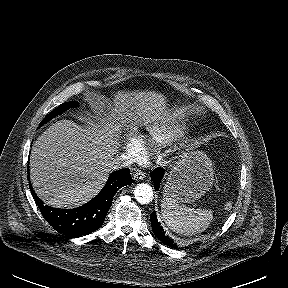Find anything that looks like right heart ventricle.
Listing matches in <instances>:
<instances>
[{"mask_svg":"<svg viewBox=\"0 0 288 288\" xmlns=\"http://www.w3.org/2000/svg\"><path fill=\"white\" fill-rule=\"evenodd\" d=\"M185 126L171 121L154 125L146 135L143 136V143L147 145H165L182 136Z\"/></svg>","mask_w":288,"mask_h":288,"instance_id":"1","label":"right heart ventricle"}]
</instances>
